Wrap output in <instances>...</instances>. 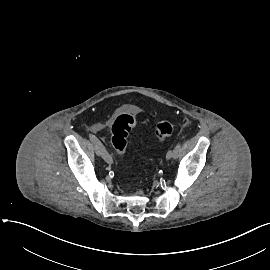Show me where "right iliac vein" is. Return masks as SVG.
Wrapping results in <instances>:
<instances>
[{"instance_id":"obj_1","label":"right iliac vein","mask_w":270,"mask_h":270,"mask_svg":"<svg viewBox=\"0 0 270 270\" xmlns=\"http://www.w3.org/2000/svg\"><path fill=\"white\" fill-rule=\"evenodd\" d=\"M94 151H95L96 155L102 156L99 148L96 145H94Z\"/></svg>"}]
</instances>
